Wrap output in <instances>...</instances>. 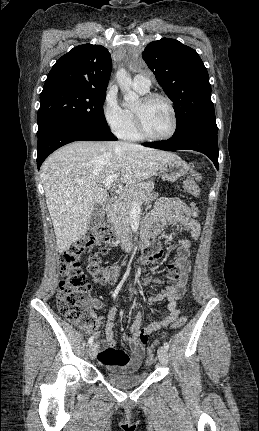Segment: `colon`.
Wrapping results in <instances>:
<instances>
[{
  "mask_svg": "<svg viewBox=\"0 0 259 431\" xmlns=\"http://www.w3.org/2000/svg\"><path fill=\"white\" fill-rule=\"evenodd\" d=\"M201 180V174L192 170L188 179L184 183L187 192L194 196L200 194L198 182ZM188 211L191 216L197 217L201 208L190 202ZM103 246L95 253L89 256L86 271L91 279L98 284L112 283L118 276L120 266L102 265V257L107 253L109 248L114 244V236L111 225H102L88 233L80 240L72 244L60 257L59 267L62 279L59 282L57 291V308L72 324L83 327H95L97 320L90 310V292L91 283L88 281L86 274L82 271L80 257L88 253L95 245ZM144 257L150 260H159L162 257V251L151 247L144 248ZM187 322L186 316H178L173 322V330L181 329ZM141 341L147 344L149 334L142 333ZM159 344L157 341L149 348L146 356V364H151L155 359V348Z\"/></svg>",
  "mask_w": 259,
  "mask_h": 431,
  "instance_id": "5ec220e1",
  "label": "colon"
}]
</instances>
